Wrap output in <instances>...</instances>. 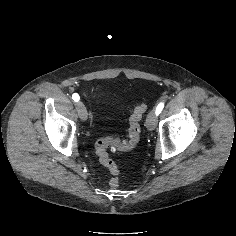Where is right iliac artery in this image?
Masks as SVG:
<instances>
[{"label":"right iliac artery","mask_w":236,"mask_h":236,"mask_svg":"<svg viewBox=\"0 0 236 236\" xmlns=\"http://www.w3.org/2000/svg\"><path fill=\"white\" fill-rule=\"evenodd\" d=\"M72 99H73L75 102H78L79 99H80V97H79V95H78L77 93H74V94L72 95Z\"/></svg>","instance_id":"1"}]
</instances>
